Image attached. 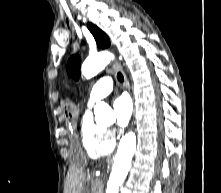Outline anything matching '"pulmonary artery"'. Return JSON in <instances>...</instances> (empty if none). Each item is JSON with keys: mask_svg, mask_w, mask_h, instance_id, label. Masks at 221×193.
Returning a JSON list of instances; mask_svg holds the SVG:
<instances>
[{"mask_svg": "<svg viewBox=\"0 0 221 193\" xmlns=\"http://www.w3.org/2000/svg\"><path fill=\"white\" fill-rule=\"evenodd\" d=\"M113 89L112 79L109 76L101 77L92 87L88 97V107H92L95 102L111 93Z\"/></svg>", "mask_w": 221, "mask_h": 193, "instance_id": "1", "label": "pulmonary artery"}]
</instances>
